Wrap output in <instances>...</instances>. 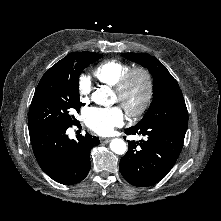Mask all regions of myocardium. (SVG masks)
Here are the masks:
<instances>
[{"mask_svg": "<svg viewBox=\"0 0 221 221\" xmlns=\"http://www.w3.org/2000/svg\"><path fill=\"white\" fill-rule=\"evenodd\" d=\"M136 78H141L144 82V94L140 103L131 107L127 104V96ZM118 102L123 106L127 115L131 118L141 116L149 108L154 95V78L151 72L143 67L131 68L114 88Z\"/></svg>", "mask_w": 221, "mask_h": 221, "instance_id": "f54148a6", "label": "myocardium"}]
</instances>
